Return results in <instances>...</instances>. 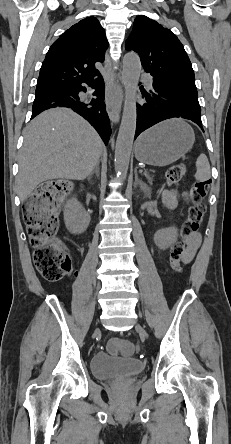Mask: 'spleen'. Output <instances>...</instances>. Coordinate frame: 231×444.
Wrapping results in <instances>:
<instances>
[{
	"instance_id": "spleen-1",
	"label": "spleen",
	"mask_w": 231,
	"mask_h": 444,
	"mask_svg": "<svg viewBox=\"0 0 231 444\" xmlns=\"http://www.w3.org/2000/svg\"><path fill=\"white\" fill-rule=\"evenodd\" d=\"M197 171L195 178L199 182L206 181L210 178V164L205 154H200L196 161Z\"/></svg>"
}]
</instances>
